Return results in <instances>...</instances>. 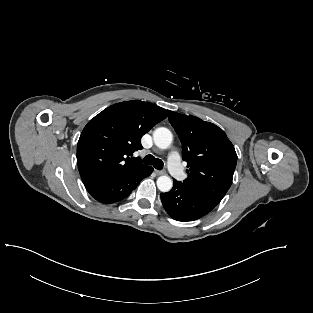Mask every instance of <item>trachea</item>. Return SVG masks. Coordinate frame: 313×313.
Returning <instances> with one entry per match:
<instances>
[{"label": "trachea", "mask_w": 313, "mask_h": 313, "mask_svg": "<svg viewBox=\"0 0 313 313\" xmlns=\"http://www.w3.org/2000/svg\"><path fill=\"white\" fill-rule=\"evenodd\" d=\"M143 163L147 164V165H153L154 168L161 170L163 168V161L155 158L153 155L148 154L146 157H144L143 159Z\"/></svg>", "instance_id": "1"}]
</instances>
